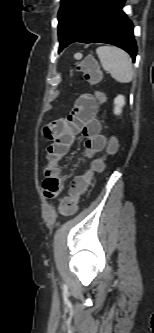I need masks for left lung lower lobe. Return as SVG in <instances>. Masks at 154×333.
Listing matches in <instances>:
<instances>
[{"instance_id":"left-lung-lower-lobe-1","label":"left lung lower lobe","mask_w":154,"mask_h":333,"mask_svg":"<svg viewBox=\"0 0 154 333\" xmlns=\"http://www.w3.org/2000/svg\"><path fill=\"white\" fill-rule=\"evenodd\" d=\"M125 0H98L83 17L64 47L74 42L108 43L122 48L135 60L133 24L122 11Z\"/></svg>"}]
</instances>
